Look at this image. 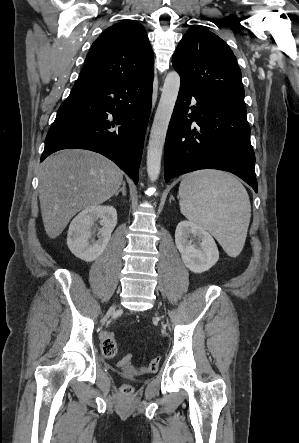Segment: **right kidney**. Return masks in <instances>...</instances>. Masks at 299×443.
Segmentation results:
<instances>
[{"label": "right kidney", "mask_w": 299, "mask_h": 443, "mask_svg": "<svg viewBox=\"0 0 299 443\" xmlns=\"http://www.w3.org/2000/svg\"><path fill=\"white\" fill-rule=\"evenodd\" d=\"M100 219L98 240L93 239L96 222ZM117 224V212L113 206H89L82 210L71 222L67 245L70 251L81 260H96L107 247L111 233Z\"/></svg>", "instance_id": "obj_1"}]
</instances>
